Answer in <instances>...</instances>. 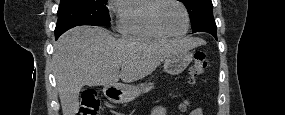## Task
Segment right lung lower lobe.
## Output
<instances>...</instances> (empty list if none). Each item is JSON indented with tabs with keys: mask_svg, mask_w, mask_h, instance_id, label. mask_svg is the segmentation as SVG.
I'll return each mask as SVG.
<instances>
[{
	"mask_svg": "<svg viewBox=\"0 0 285 115\" xmlns=\"http://www.w3.org/2000/svg\"><path fill=\"white\" fill-rule=\"evenodd\" d=\"M61 34H55V38L58 39V37L60 36Z\"/></svg>",
	"mask_w": 285,
	"mask_h": 115,
	"instance_id": "right-lung-lower-lobe-1",
	"label": "right lung lower lobe"
}]
</instances>
